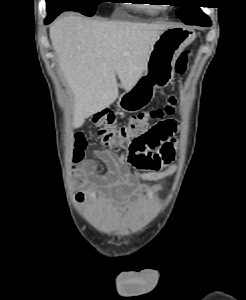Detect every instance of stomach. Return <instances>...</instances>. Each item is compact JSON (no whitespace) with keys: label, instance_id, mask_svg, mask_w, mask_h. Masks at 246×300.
<instances>
[{"label":"stomach","instance_id":"0dacf381","mask_svg":"<svg viewBox=\"0 0 246 300\" xmlns=\"http://www.w3.org/2000/svg\"><path fill=\"white\" fill-rule=\"evenodd\" d=\"M196 34L186 28L170 27L154 42L144 75L118 99V106L127 112L145 108L154 97L156 88L167 85L173 77L174 64L183 49Z\"/></svg>","mask_w":246,"mask_h":300}]
</instances>
